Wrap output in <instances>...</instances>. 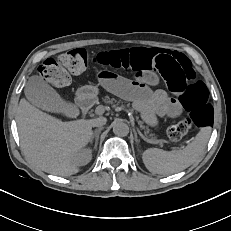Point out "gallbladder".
I'll list each match as a JSON object with an SVG mask.
<instances>
[{"label":"gallbladder","instance_id":"1","mask_svg":"<svg viewBox=\"0 0 231 231\" xmlns=\"http://www.w3.org/2000/svg\"><path fill=\"white\" fill-rule=\"evenodd\" d=\"M24 91L29 102L38 108L61 110L64 107L60 95L39 76L30 77Z\"/></svg>","mask_w":231,"mask_h":231}]
</instances>
